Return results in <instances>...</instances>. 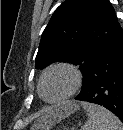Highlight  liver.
<instances>
[{"label":"liver","instance_id":"liver-1","mask_svg":"<svg viewBox=\"0 0 123 130\" xmlns=\"http://www.w3.org/2000/svg\"><path fill=\"white\" fill-rule=\"evenodd\" d=\"M77 108L73 103H67L65 106L60 108H48L36 121L34 128L36 130L46 129L49 130L52 125L58 122L63 116L70 113L71 109Z\"/></svg>","mask_w":123,"mask_h":130}]
</instances>
